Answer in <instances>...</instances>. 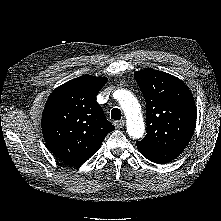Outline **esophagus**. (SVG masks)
<instances>
[{
    "label": "esophagus",
    "instance_id": "34e87169",
    "mask_svg": "<svg viewBox=\"0 0 221 221\" xmlns=\"http://www.w3.org/2000/svg\"><path fill=\"white\" fill-rule=\"evenodd\" d=\"M114 125H115L116 128H122L125 125V121L124 120L115 121Z\"/></svg>",
    "mask_w": 221,
    "mask_h": 221
}]
</instances>
